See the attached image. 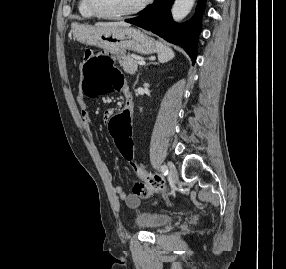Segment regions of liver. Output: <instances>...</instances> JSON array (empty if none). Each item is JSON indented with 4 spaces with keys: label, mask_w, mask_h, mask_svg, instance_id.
Returning <instances> with one entry per match:
<instances>
[{
    "label": "liver",
    "mask_w": 286,
    "mask_h": 269,
    "mask_svg": "<svg viewBox=\"0 0 286 269\" xmlns=\"http://www.w3.org/2000/svg\"><path fill=\"white\" fill-rule=\"evenodd\" d=\"M95 26H102V27H129L130 24L125 22H100L97 23Z\"/></svg>",
    "instance_id": "1"
}]
</instances>
